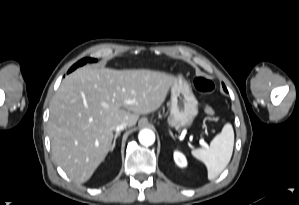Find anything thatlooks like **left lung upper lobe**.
<instances>
[{"label": "left lung upper lobe", "instance_id": "left-lung-upper-lobe-1", "mask_svg": "<svg viewBox=\"0 0 299 205\" xmlns=\"http://www.w3.org/2000/svg\"><path fill=\"white\" fill-rule=\"evenodd\" d=\"M223 88H224V90H226V88H225L224 84H223Z\"/></svg>", "mask_w": 299, "mask_h": 205}]
</instances>
